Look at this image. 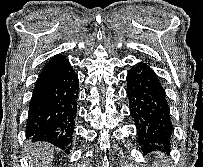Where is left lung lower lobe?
<instances>
[{"label": "left lung lower lobe", "mask_w": 203, "mask_h": 167, "mask_svg": "<svg viewBox=\"0 0 203 167\" xmlns=\"http://www.w3.org/2000/svg\"><path fill=\"white\" fill-rule=\"evenodd\" d=\"M127 97L138 142L144 151H168L173 125L165 90L155 72L145 63L132 66L127 77Z\"/></svg>", "instance_id": "left-lung-lower-lobe-1"}]
</instances>
